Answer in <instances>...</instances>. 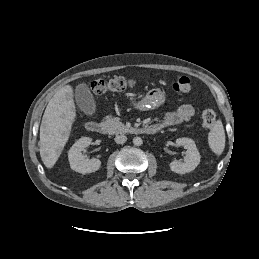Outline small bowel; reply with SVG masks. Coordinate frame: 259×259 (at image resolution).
Returning a JSON list of instances; mask_svg holds the SVG:
<instances>
[{"label":"small bowel","mask_w":259,"mask_h":259,"mask_svg":"<svg viewBox=\"0 0 259 259\" xmlns=\"http://www.w3.org/2000/svg\"><path fill=\"white\" fill-rule=\"evenodd\" d=\"M194 113L195 110L191 104H183L175 112L167 113L155 124H158L160 128L175 126L182 122L189 121L193 117Z\"/></svg>","instance_id":"c3829d8e"}]
</instances>
